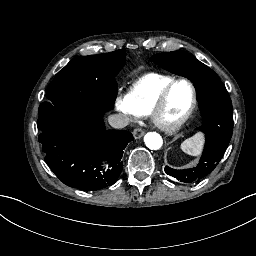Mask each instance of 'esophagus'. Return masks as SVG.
Segmentation results:
<instances>
[{"label":"esophagus","mask_w":256,"mask_h":256,"mask_svg":"<svg viewBox=\"0 0 256 256\" xmlns=\"http://www.w3.org/2000/svg\"><path fill=\"white\" fill-rule=\"evenodd\" d=\"M144 131L140 128H137L133 131V135L135 137V139H140L143 135H144Z\"/></svg>","instance_id":"obj_1"}]
</instances>
